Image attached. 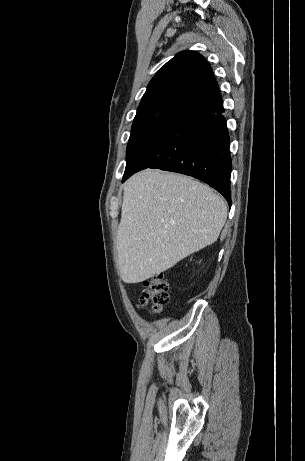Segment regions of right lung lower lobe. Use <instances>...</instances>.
Wrapping results in <instances>:
<instances>
[{
    "instance_id": "1",
    "label": "right lung lower lobe",
    "mask_w": 305,
    "mask_h": 461,
    "mask_svg": "<svg viewBox=\"0 0 305 461\" xmlns=\"http://www.w3.org/2000/svg\"><path fill=\"white\" fill-rule=\"evenodd\" d=\"M223 111L220 91L188 108L159 143L125 169L122 182L146 168L178 172L209 184L230 204L231 157Z\"/></svg>"
}]
</instances>
